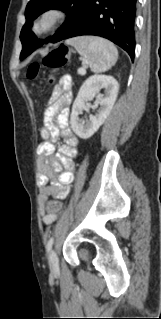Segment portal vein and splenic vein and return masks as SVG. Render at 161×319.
Returning <instances> with one entry per match:
<instances>
[{"label": "portal vein and splenic vein", "mask_w": 161, "mask_h": 319, "mask_svg": "<svg viewBox=\"0 0 161 319\" xmlns=\"http://www.w3.org/2000/svg\"><path fill=\"white\" fill-rule=\"evenodd\" d=\"M78 73L83 75L86 73V70L84 68H80L78 69Z\"/></svg>", "instance_id": "1"}]
</instances>
